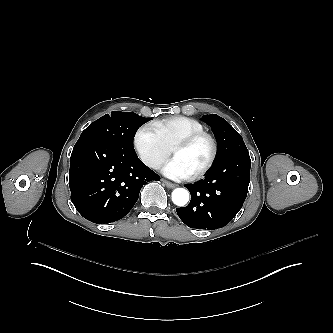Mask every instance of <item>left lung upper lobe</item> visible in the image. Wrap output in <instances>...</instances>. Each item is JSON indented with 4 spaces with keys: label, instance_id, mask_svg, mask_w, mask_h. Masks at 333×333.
<instances>
[{
    "label": "left lung upper lobe",
    "instance_id": "left-lung-upper-lobe-1",
    "mask_svg": "<svg viewBox=\"0 0 333 333\" xmlns=\"http://www.w3.org/2000/svg\"><path fill=\"white\" fill-rule=\"evenodd\" d=\"M202 121L212 128L217 140L218 154L215 164L236 153L248 151L241 135L220 116L204 115Z\"/></svg>",
    "mask_w": 333,
    "mask_h": 333
}]
</instances>
